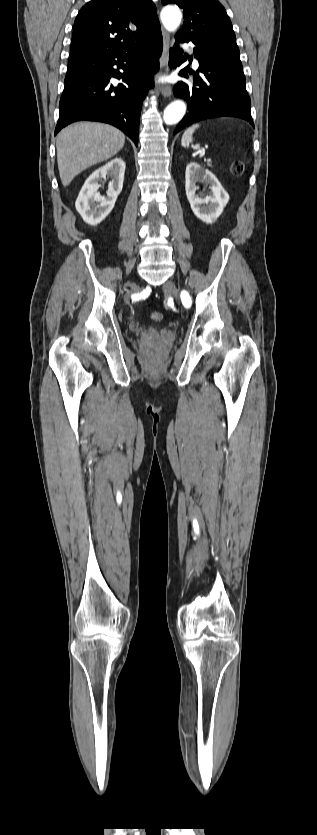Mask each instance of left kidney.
Here are the masks:
<instances>
[{"label":"left kidney","instance_id":"1","mask_svg":"<svg viewBox=\"0 0 317 835\" xmlns=\"http://www.w3.org/2000/svg\"><path fill=\"white\" fill-rule=\"evenodd\" d=\"M202 180L210 185L211 193L207 196L203 192L196 194V182ZM185 190L194 215L207 224L217 220L229 201L228 193L214 174L196 162L186 166Z\"/></svg>","mask_w":317,"mask_h":835}]
</instances>
